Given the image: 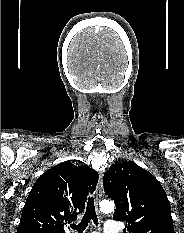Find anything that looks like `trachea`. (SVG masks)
I'll use <instances>...</instances> for the list:
<instances>
[{"mask_svg":"<svg viewBox=\"0 0 184 233\" xmlns=\"http://www.w3.org/2000/svg\"><path fill=\"white\" fill-rule=\"evenodd\" d=\"M93 221L95 225H98V218L95 211L94 198L91 197L88 199L86 212L81 220V222L76 225L72 224L71 228L78 231V233H83L90 221Z\"/></svg>","mask_w":184,"mask_h":233,"instance_id":"1","label":"trachea"}]
</instances>
